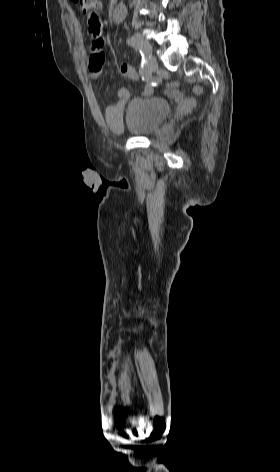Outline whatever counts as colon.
Masks as SVG:
<instances>
[{
	"label": "colon",
	"mask_w": 280,
	"mask_h": 472,
	"mask_svg": "<svg viewBox=\"0 0 280 472\" xmlns=\"http://www.w3.org/2000/svg\"><path fill=\"white\" fill-rule=\"evenodd\" d=\"M75 4H78L83 14L88 18V21L98 22V12L100 4L98 0H71ZM120 73L131 80H138L139 76L137 72L128 64L123 63L120 65ZM175 91V86L173 84L166 86L167 93H173ZM194 93L201 94L202 88L200 86H195L193 88Z\"/></svg>",
	"instance_id": "obj_1"
}]
</instances>
